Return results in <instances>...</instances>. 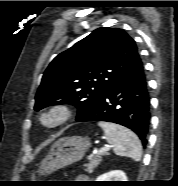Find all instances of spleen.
Segmentation results:
<instances>
[{
    "label": "spleen",
    "mask_w": 178,
    "mask_h": 186,
    "mask_svg": "<svg viewBox=\"0 0 178 186\" xmlns=\"http://www.w3.org/2000/svg\"><path fill=\"white\" fill-rule=\"evenodd\" d=\"M103 129L107 142L113 147L119 156H125L140 161L142 157V145L137 135L131 130L110 122H99Z\"/></svg>",
    "instance_id": "1"
}]
</instances>
